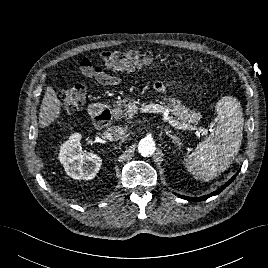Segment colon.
Instances as JSON below:
<instances>
[{
  "instance_id": "colon-1",
  "label": "colon",
  "mask_w": 268,
  "mask_h": 268,
  "mask_svg": "<svg viewBox=\"0 0 268 268\" xmlns=\"http://www.w3.org/2000/svg\"><path fill=\"white\" fill-rule=\"evenodd\" d=\"M158 56L147 51H120L112 50L101 54L102 65L110 70H135L151 65ZM193 64V61H188ZM87 89L83 84H77L61 90L57 94L58 101L69 112H76L86 100Z\"/></svg>"
}]
</instances>
